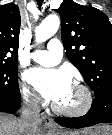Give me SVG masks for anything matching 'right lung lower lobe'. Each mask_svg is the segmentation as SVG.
<instances>
[{
	"instance_id": "1",
	"label": "right lung lower lobe",
	"mask_w": 112,
	"mask_h": 135,
	"mask_svg": "<svg viewBox=\"0 0 112 135\" xmlns=\"http://www.w3.org/2000/svg\"><path fill=\"white\" fill-rule=\"evenodd\" d=\"M20 107V98H0V112L15 114Z\"/></svg>"
}]
</instances>
